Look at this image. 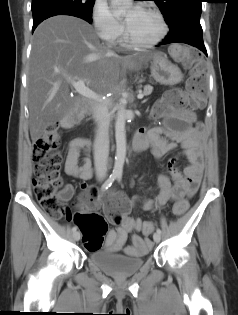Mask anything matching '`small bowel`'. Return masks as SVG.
Returning a JSON list of instances; mask_svg holds the SVG:
<instances>
[{
	"label": "small bowel",
	"instance_id": "obj_1",
	"mask_svg": "<svg viewBox=\"0 0 238 315\" xmlns=\"http://www.w3.org/2000/svg\"><path fill=\"white\" fill-rule=\"evenodd\" d=\"M203 136L204 129L199 123H195L181 131H168L160 126L138 130L134 140L138 144L139 152L150 149L157 159H161L176 148L174 142H181L189 164L184 172L180 173L177 167V159H171L167 165V170L173 179V183H171L166 173H161L158 176L156 197L153 200H141L139 197H134L128 200V207L132 209L140 205L143 210H151L163 206L176 198L190 197L193 195L198 188L203 172ZM88 147V140L75 139L70 142L67 150L65 171L68 175L81 181H87L92 177V163L87 154ZM82 151H84L86 155L82 163L79 164ZM73 193V186L66 185L59 191L58 196L67 201L71 199ZM99 202L100 200L98 199V204ZM97 205H86L84 203L83 210H95ZM71 217H73V215H69L68 219L70 220ZM144 223L141 218H132L129 216V219H124L117 228L108 232L105 243L107 251L117 252L124 249L125 253L129 256L145 254L152 247V242L149 237L142 238L137 234H133L131 236V245L124 247L128 233L140 231Z\"/></svg>",
	"mask_w": 238,
	"mask_h": 315
}]
</instances>
